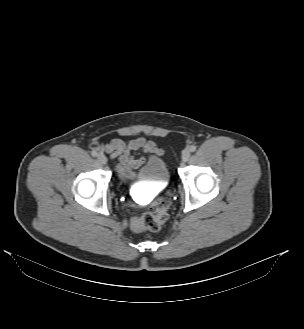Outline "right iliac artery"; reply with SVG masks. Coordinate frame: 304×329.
<instances>
[{"label": "right iliac artery", "instance_id": "1", "mask_svg": "<svg viewBox=\"0 0 304 329\" xmlns=\"http://www.w3.org/2000/svg\"><path fill=\"white\" fill-rule=\"evenodd\" d=\"M91 155H92L93 157H96V156L98 155V153H97L95 150H93V151L91 152Z\"/></svg>", "mask_w": 304, "mask_h": 329}]
</instances>
